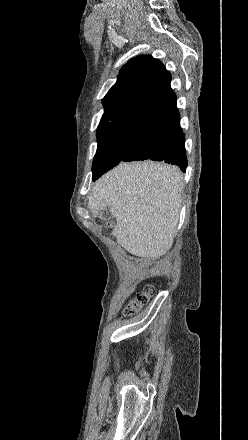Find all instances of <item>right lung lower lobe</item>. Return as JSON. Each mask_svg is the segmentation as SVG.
<instances>
[{"label":"right lung lower lobe","instance_id":"obj_1","mask_svg":"<svg viewBox=\"0 0 248 440\" xmlns=\"http://www.w3.org/2000/svg\"><path fill=\"white\" fill-rule=\"evenodd\" d=\"M147 159L172 163L186 171L185 137L176 102L153 114L130 132L121 161Z\"/></svg>","mask_w":248,"mask_h":440}]
</instances>
